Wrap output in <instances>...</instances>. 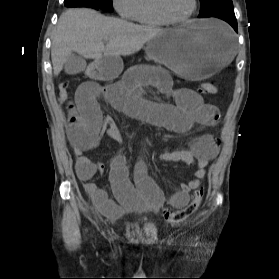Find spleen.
<instances>
[{
    "mask_svg": "<svg viewBox=\"0 0 279 279\" xmlns=\"http://www.w3.org/2000/svg\"><path fill=\"white\" fill-rule=\"evenodd\" d=\"M219 28H220L223 32L228 33V30H227L226 28H224V27H222V26H220ZM231 35H232V33H231ZM232 37H233V35H232Z\"/></svg>",
    "mask_w": 279,
    "mask_h": 279,
    "instance_id": "3e777b00",
    "label": "spleen"
}]
</instances>
